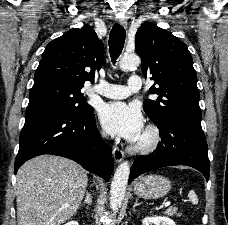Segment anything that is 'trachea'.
Returning a JSON list of instances; mask_svg holds the SVG:
<instances>
[{"mask_svg":"<svg viewBox=\"0 0 228 225\" xmlns=\"http://www.w3.org/2000/svg\"><path fill=\"white\" fill-rule=\"evenodd\" d=\"M126 32L123 26L116 23L109 35V53L112 62L115 63L124 47Z\"/></svg>","mask_w":228,"mask_h":225,"instance_id":"trachea-1","label":"trachea"}]
</instances>
